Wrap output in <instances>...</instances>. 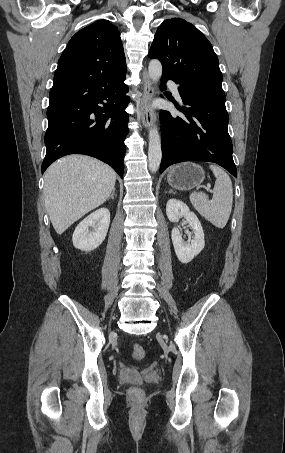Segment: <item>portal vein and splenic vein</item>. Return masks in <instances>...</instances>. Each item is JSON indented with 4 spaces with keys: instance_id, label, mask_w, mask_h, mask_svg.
<instances>
[{
    "instance_id": "18ae733b",
    "label": "portal vein and splenic vein",
    "mask_w": 285,
    "mask_h": 453,
    "mask_svg": "<svg viewBox=\"0 0 285 453\" xmlns=\"http://www.w3.org/2000/svg\"><path fill=\"white\" fill-rule=\"evenodd\" d=\"M207 190H208V191H210V190H211V189H210V185H208V186H207Z\"/></svg>"
}]
</instances>
